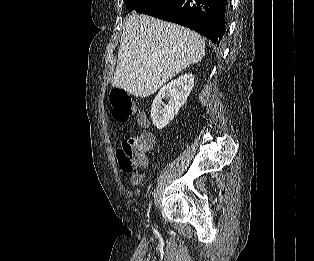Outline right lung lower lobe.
<instances>
[{
    "mask_svg": "<svg viewBox=\"0 0 314 261\" xmlns=\"http://www.w3.org/2000/svg\"><path fill=\"white\" fill-rule=\"evenodd\" d=\"M228 3L229 0H165L145 14L190 28L219 45L227 24Z\"/></svg>",
    "mask_w": 314,
    "mask_h": 261,
    "instance_id": "obj_1",
    "label": "right lung lower lobe"
}]
</instances>
